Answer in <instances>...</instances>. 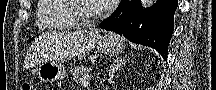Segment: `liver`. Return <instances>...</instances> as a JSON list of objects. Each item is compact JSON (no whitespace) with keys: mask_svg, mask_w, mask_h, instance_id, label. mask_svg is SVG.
<instances>
[{"mask_svg":"<svg viewBox=\"0 0 216 90\" xmlns=\"http://www.w3.org/2000/svg\"><path fill=\"white\" fill-rule=\"evenodd\" d=\"M65 44L68 50V58L80 56L83 52H90L101 40L98 30H85V32H66Z\"/></svg>","mask_w":216,"mask_h":90,"instance_id":"liver-1","label":"liver"}]
</instances>
